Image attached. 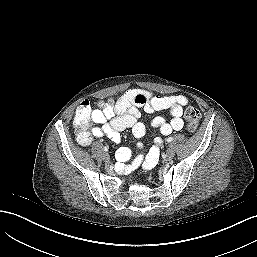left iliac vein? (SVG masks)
I'll return each mask as SVG.
<instances>
[{"mask_svg": "<svg viewBox=\"0 0 257 257\" xmlns=\"http://www.w3.org/2000/svg\"><path fill=\"white\" fill-rule=\"evenodd\" d=\"M174 154H175L174 149H173L172 147H169V148L166 150L165 157H166L167 159H171V158L174 157Z\"/></svg>", "mask_w": 257, "mask_h": 257, "instance_id": "left-iliac-vein-1", "label": "left iliac vein"}]
</instances>
